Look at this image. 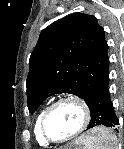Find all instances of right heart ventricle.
<instances>
[{
    "mask_svg": "<svg viewBox=\"0 0 124 149\" xmlns=\"http://www.w3.org/2000/svg\"><path fill=\"white\" fill-rule=\"evenodd\" d=\"M46 108H43L39 111V113L37 114L36 118H35V122H34V135H35V139L37 141V143L40 146H46L48 145V142L43 138L42 134H41V130H40V123H41V119L43 116V113L45 112Z\"/></svg>",
    "mask_w": 124,
    "mask_h": 149,
    "instance_id": "1",
    "label": "right heart ventricle"
}]
</instances>
